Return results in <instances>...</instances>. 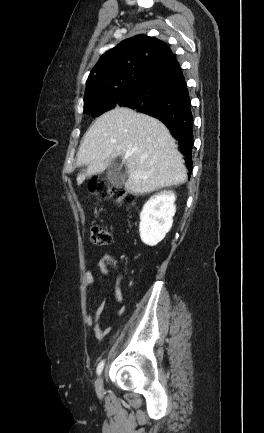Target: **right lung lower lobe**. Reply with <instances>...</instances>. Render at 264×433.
<instances>
[{
	"label": "right lung lower lobe",
	"instance_id": "right-lung-lower-lobe-1",
	"mask_svg": "<svg viewBox=\"0 0 264 433\" xmlns=\"http://www.w3.org/2000/svg\"><path fill=\"white\" fill-rule=\"evenodd\" d=\"M126 107L160 120L179 141L192 170L193 116L185 78L175 56L165 61L142 83Z\"/></svg>",
	"mask_w": 264,
	"mask_h": 433
}]
</instances>
